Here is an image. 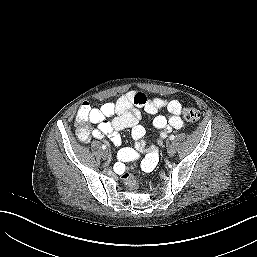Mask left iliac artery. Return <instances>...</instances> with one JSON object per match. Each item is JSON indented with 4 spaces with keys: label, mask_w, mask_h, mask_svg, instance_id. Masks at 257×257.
Listing matches in <instances>:
<instances>
[{
    "label": "left iliac artery",
    "mask_w": 257,
    "mask_h": 257,
    "mask_svg": "<svg viewBox=\"0 0 257 257\" xmlns=\"http://www.w3.org/2000/svg\"><path fill=\"white\" fill-rule=\"evenodd\" d=\"M169 139H170V140H174V139H175V136H174V135H171V136L169 137Z\"/></svg>",
    "instance_id": "1"
}]
</instances>
